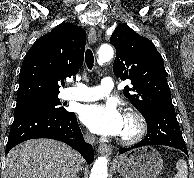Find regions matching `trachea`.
Here are the masks:
<instances>
[{"label":"trachea","instance_id":"obj_1","mask_svg":"<svg viewBox=\"0 0 194 178\" xmlns=\"http://www.w3.org/2000/svg\"><path fill=\"white\" fill-rule=\"evenodd\" d=\"M85 62L89 70H92L94 66V56L91 49H87L85 52Z\"/></svg>","mask_w":194,"mask_h":178}]
</instances>
